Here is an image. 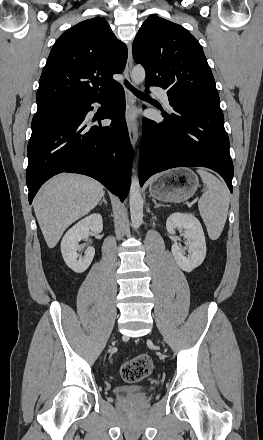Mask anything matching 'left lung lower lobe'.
<instances>
[{"label": "left lung lower lobe", "instance_id": "obj_1", "mask_svg": "<svg viewBox=\"0 0 263 440\" xmlns=\"http://www.w3.org/2000/svg\"><path fill=\"white\" fill-rule=\"evenodd\" d=\"M167 95L173 112L162 113L165 119L161 123L143 120L140 185L170 168L202 166L219 173L232 193L233 163L220 104L187 103Z\"/></svg>", "mask_w": 263, "mask_h": 440}]
</instances>
